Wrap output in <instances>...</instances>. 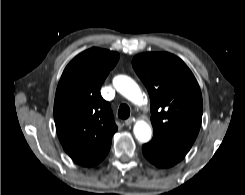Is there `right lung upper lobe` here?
Segmentation results:
<instances>
[{
    "label": "right lung upper lobe",
    "mask_w": 245,
    "mask_h": 195,
    "mask_svg": "<svg viewBox=\"0 0 245 195\" xmlns=\"http://www.w3.org/2000/svg\"><path fill=\"white\" fill-rule=\"evenodd\" d=\"M118 59L116 52L91 48L66 66L59 81L54 102L57 134L64 150L81 166L101 162L117 131L100 88Z\"/></svg>",
    "instance_id": "right-lung-upper-lobe-1"
}]
</instances>
